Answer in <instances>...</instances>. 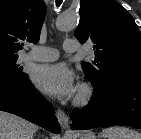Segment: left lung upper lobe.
<instances>
[{
	"label": "left lung upper lobe",
	"mask_w": 141,
	"mask_h": 139,
	"mask_svg": "<svg viewBox=\"0 0 141 139\" xmlns=\"http://www.w3.org/2000/svg\"><path fill=\"white\" fill-rule=\"evenodd\" d=\"M81 42L94 43L95 60L82 68L94 88L113 78L141 79V39L133 17L114 0H81Z\"/></svg>",
	"instance_id": "1"
}]
</instances>
